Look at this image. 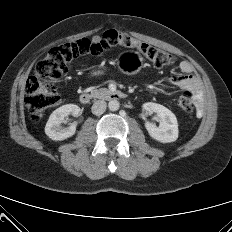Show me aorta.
Instances as JSON below:
<instances>
[{
  "label": "aorta",
  "instance_id": "1",
  "mask_svg": "<svg viewBox=\"0 0 232 232\" xmlns=\"http://www.w3.org/2000/svg\"><path fill=\"white\" fill-rule=\"evenodd\" d=\"M120 107V103L117 100H111L108 103V108L110 111H117Z\"/></svg>",
  "mask_w": 232,
  "mask_h": 232
}]
</instances>
